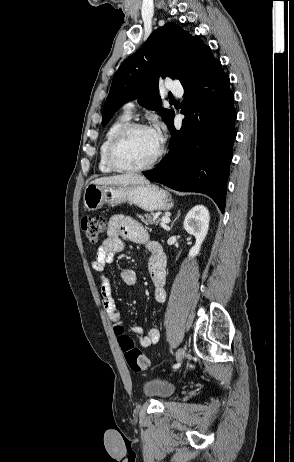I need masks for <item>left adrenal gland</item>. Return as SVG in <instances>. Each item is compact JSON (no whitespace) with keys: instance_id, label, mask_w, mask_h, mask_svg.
Segmentation results:
<instances>
[{"instance_id":"a2214340","label":"left adrenal gland","mask_w":294,"mask_h":462,"mask_svg":"<svg viewBox=\"0 0 294 462\" xmlns=\"http://www.w3.org/2000/svg\"><path fill=\"white\" fill-rule=\"evenodd\" d=\"M179 216H180V210H178V213H177L176 218L172 221V223H171V228H172V226H173L175 220H176Z\"/></svg>"}]
</instances>
